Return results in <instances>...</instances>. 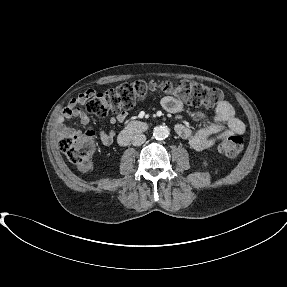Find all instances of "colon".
<instances>
[{"mask_svg": "<svg viewBox=\"0 0 287 287\" xmlns=\"http://www.w3.org/2000/svg\"><path fill=\"white\" fill-rule=\"evenodd\" d=\"M157 93L175 97L195 107L212 108L223 101L221 90L191 81L173 83L168 80H138L92 94L86 107L94 115L105 116L109 111L129 110L138 101H143ZM243 148L244 142L240 136L225 138L219 145V151L229 158L238 157ZM60 149L70 162L80 170L86 171L91 167L95 154L96 133L90 130L73 131L61 138Z\"/></svg>", "mask_w": 287, "mask_h": 287, "instance_id": "obj_1", "label": "colon"}]
</instances>
